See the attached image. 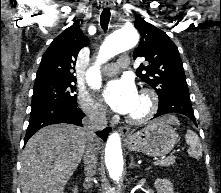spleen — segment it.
Listing matches in <instances>:
<instances>
[{
  "instance_id": "1",
  "label": "spleen",
  "mask_w": 221,
  "mask_h": 193,
  "mask_svg": "<svg viewBox=\"0 0 221 193\" xmlns=\"http://www.w3.org/2000/svg\"><path fill=\"white\" fill-rule=\"evenodd\" d=\"M185 140L186 143L190 145V149L188 151L189 155L196 159L201 158L203 150L198 135L192 130H187Z\"/></svg>"
}]
</instances>
